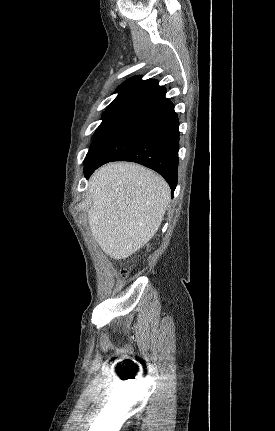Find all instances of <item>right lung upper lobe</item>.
<instances>
[{
	"mask_svg": "<svg viewBox=\"0 0 275 431\" xmlns=\"http://www.w3.org/2000/svg\"><path fill=\"white\" fill-rule=\"evenodd\" d=\"M118 96L107 106L104 113L131 111L137 112L148 104L162 98L166 89L155 79L142 80L135 76L122 83L116 90Z\"/></svg>",
	"mask_w": 275,
	"mask_h": 431,
	"instance_id": "right-lung-upper-lobe-1",
	"label": "right lung upper lobe"
}]
</instances>
